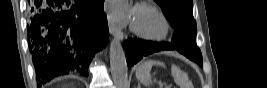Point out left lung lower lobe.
<instances>
[{"label":"left lung lower lobe","instance_id":"1","mask_svg":"<svg viewBox=\"0 0 267 88\" xmlns=\"http://www.w3.org/2000/svg\"><path fill=\"white\" fill-rule=\"evenodd\" d=\"M126 60L128 66H133L143 56L162 50L176 49L190 60L202 66V54L192 35L175 33L171 43L148 42L139 39L129 38L125 42Z\"/></svg>","mask_w":267,"mask_h":88}]
</instances>
